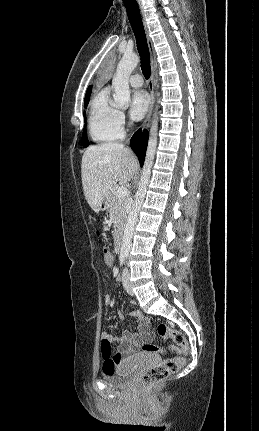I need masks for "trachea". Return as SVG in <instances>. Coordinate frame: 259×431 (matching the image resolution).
<instances>
[{
  "label": "trachea",
  "instance_id": "3493384b",
  "mask_svg": "<svg viewBox=\"0 0 259 431\" xmlns=\"http://www.w3.org/2000/svg\"><path fill=\"white\" fill-rule=\"evenodd\" d=\"M127 16L133 29L137 49L141 58V69L146 79L150 77V53L145 35V30L136 0H123Z\"/></svg>",
  "mask_w": 259,
  "mask_h": 431
}]
</instances>
